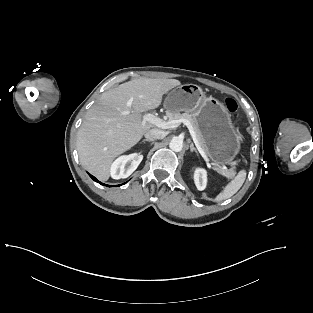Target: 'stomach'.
Returning a JSON list of instances; mask_svg holds the SVG:
<instances>
[{
  "instance_id": "obj_1",
  "label": "stomach",
  "mask_w": 313,
  "mask_h": 313,
  "mask_svg": "<svg viewBox=\"0 0 313 313\" xmlns=\"http://www.w3.org/2000/svg\"><path fill=\"white\" fill-rule=\"evenodd\" d=\"M164 106L168 115L193 114L206 153L216 166L229 164L240 151L242 138L228 110L219 100L207 96L200 86L184 84L170 90Z\"/></svg>"
}]
</instances>
